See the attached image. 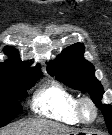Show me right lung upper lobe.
I'll return each mask as SVG.
<instances>
[{
    "mask_svg": "<svg viewBox=\"0 0 112 135\" xmlns=\"http://www.w3.org/2000/svg\"><path fill=\"white\" fill-rule=\"evenodd\" d=\"M4 52L9 56V59L5 62H0V79L12 75L34 79L41 74L38 66L33 68L34 71H31L28 63L21 61L18 51L13 47H6Z\"/></svg>",
    "mask_w": 112,
    "mask_h": 135,
    "instance_id": "obj_1",
    "label": "right lung upper lobe"
}]
</instances>
